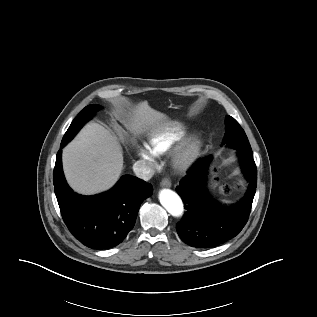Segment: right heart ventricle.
Returning a JSON list of instances; mask_svg holds the SVG:
<instances>
[{
	"instance_id": "right-heart-ventricle-1",
	"label": "right heart ventricle",
	"mask_w": 317,
	"mask_h": 317,
	"mask_svg": "<svg viewBox=\"0 0 317 317\" xmlns=\"http://www.w3.org/2000/svg\"><path fill=\"white\" fill-rule=\"evenodd\" d=\"M184 131L176 125L165 127L152 133L149 137V148L155 155L170 151L183 137Z\"/></svg>"
}]
</instances>
